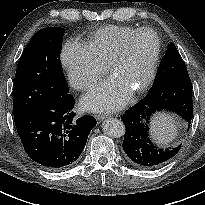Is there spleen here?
I'll use <instances>...</instances> for the list:
<instances>
[{
	"label": "spleen",
	"mask_w": 205,
	"mask_h": 205,
	"mask_svg": "<svg viewBox=\"0 0 205 205\" xmlns=\"http://www.w3.org/2000/svg\"><path fill=\"white\" fill-rule=\"evenodd\" d=\"M153 138L161 145L173 142L177 136V124L173 116L157 114L151 121Z\"/></svg>",
	"instance_id": "obj_1"
}]
</instances>
